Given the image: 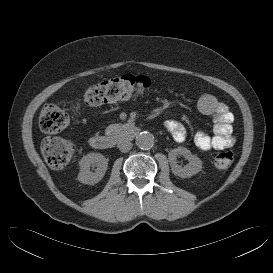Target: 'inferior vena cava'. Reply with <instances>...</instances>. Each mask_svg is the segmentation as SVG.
<instances>
[{
	"label": "inferior vena cava",
	"instance_id": "inferior-vena-cava-1",
	"mask_svg": "<svg viewBox=\"0 0 273 273\" xmlns=\"http://www.w3.org/2000/svg\"><path fill=\"white\" fill-rule=\"evenodd\" d=\"M119 150L121 152H128L132 148V143L129 141H122L119 145Z\"/></svg>",
	"mask_w": 273,
	"mask_h": 273
}]
</instances>
